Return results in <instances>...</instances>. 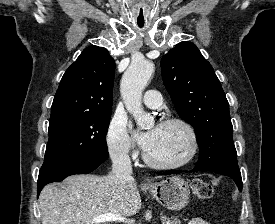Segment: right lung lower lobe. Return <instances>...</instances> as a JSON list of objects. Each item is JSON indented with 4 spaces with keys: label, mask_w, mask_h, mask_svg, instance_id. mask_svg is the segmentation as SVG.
<instances>
[{
    "label": "right lung lower lobe",
    "mask_w": 275,
    "mask_h": 224,
    "mask_svg": "<svg viewBox=\"0 0 275 224\" xmlns=\"http://www.w3.org/2000/svg\"><path fill=\"white\" fill-rule=\"evenodd\" d=\"M109 157L108 151L86 157L65 159L43 164L38 177V195L42 188L51 182L62 181L74 174H88Z\"/></svg>",
    "instance_id": "1"
}]
</instances>
